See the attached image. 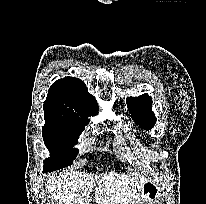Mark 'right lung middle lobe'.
Returning <instances> with one entry per match:
<instances>
[{
  "mask_svg": "<svg viewBox=\"0 0 206 204\" xmlns=\"http://www.w3.org/2000/svg\"><path fill=\"white\" fill-rule=\"evenodd\" d=\"M45 125L43 139L51 156L44 161V172L58 170L73 163L77 156L79 135L88 124V117L55 110L44 109Z\"/></svg>",
  "mask_w": 206,
  "mask_h": 204,
  "instance_id": "obj_1",
  "label": "right lung middle lobe"
}]
</instances>
